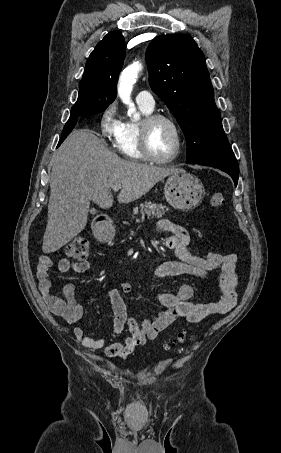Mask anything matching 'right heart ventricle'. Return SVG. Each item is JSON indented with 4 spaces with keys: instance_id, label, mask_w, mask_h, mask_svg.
I'll return each instance as SVG.
<instances>
[{
    "instance_id": "right-heart-ventricle-1",
    "label": "right heart ventricle",
    "mask_w": 281,
    "mask_h": 453,
    "mask_svg": "<svg viewBox=\"0 0 281 453\" xmlns=\"http://www.w3.org/2000/svg\"><path fill=\"white\" fill-rule=\"evenodd\" d=\"M139 111L143 116L153 114V108H148L144 103L137 102ZM141 121L133 118H125L121 123L118 136L115 140L114 147L123 158L140 161L144 159L141 151Z\"/></svg>"
}]
</instances>
